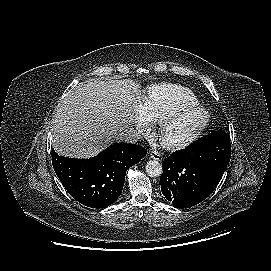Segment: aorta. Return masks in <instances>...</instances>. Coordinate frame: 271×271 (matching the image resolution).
<instances>
[{
  "mask_svg": "<svg viewBox=\"0 0 271 271\" xmlns=\"http://www.w3.org/2000/svg\"><path fill=\"white\" fill-rule=\"evenodd\" d=\"M145 169L150 177H158L162 174V165L156 160L147 162Z\"/></svg>",
  "mask_w": 271,
  "mask_h": 271,
  "instance_id": "1",
  "label": "aorta"
}]
</instances>
